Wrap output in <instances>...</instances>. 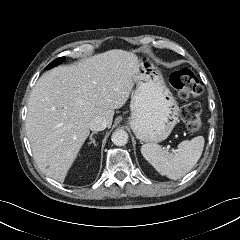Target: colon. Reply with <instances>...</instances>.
Instances as JSON below:
<instances>
[{"mask_svg":"<svg viewBox=\"0 0 240 240\" xmlns=\"http://www.w3.org/2000/svg\"><path fill=\"white\" fill-rule=\"evenodd\" d=\"M170 82L179 98L184 101L181 109V119L191 133H197L202 128L201 106L198 102L203 88L197 77L189 69L174 71Z\"/></svg>","mask_w":240,"mask_h":240,"instance_id":"1","label":"colon"}]
</instances>
